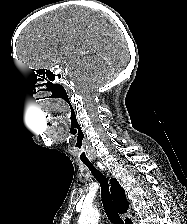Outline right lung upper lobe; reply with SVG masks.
<instances>
[{
	"label": "right lung upper lobe",
	"mask_w": 187,
	"mask_h": 224,
	"mask_svg": "<svg viewBox=\"0 0 187 224\" xmlns=\"http://www.w3.org/2000/svg\"><path fill=\"white\" fill-rule=\"evenodd\" d=\"M111 182V193L115 205L119 211V213H125L128 210L129 203L126 200V195L124 189L120 186L118 181L114 178L110 180ZM130 219H126L125 223L128 222Z\"/></svg>",
	"instance_id": "right-lung-upper-lobe-1"
}]
</instances>
